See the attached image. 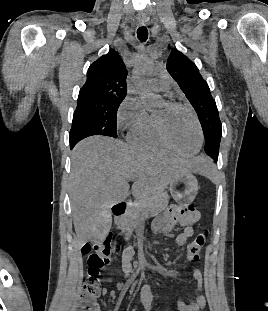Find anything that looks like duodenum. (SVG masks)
<instances>
[{"instance_id": "1", "label": "duodenum", "mask_w": 268, "mask_h": 311, "mask_svg": "<svg viewBox=\"0 0 268 311\" xmlns=\"http://www.w3.org/2000/svg\"><path fill=\"white\" fill-rule=\"evenodd\" d=\"M127 208H128V203L127 202L117 203L113 207V214H114V217H115L116 221H120L122 219V217L124 216Z\"/></svg>"}]
</instances>
